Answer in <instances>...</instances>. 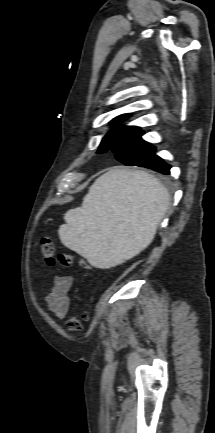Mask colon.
Wrapping results in <instances>:
<instances>
[{
    "label": "colon",
    "mask_w": 215,
    "mask_h": 433,
    "mask_svg": "<svg viewBox=\"0 0 215 433\" xmlns=\"http://www.w3.org/2000/svg\"><path fill=\"white\" fill-rule=\"evenodd\" d=\"M41 253L45 261L49 265L60 264L62 266H71L75 261V256L72 253L56 254L53 240L48 236H43L40 241ZM83 268H88L86 261L79 262ZM88 319V313L83 312L81 315L72 316L67 319L65 327L69 332H79L84 328V324Z\"/></svg>",
    "instance_id": "obj_1"
}]
</instances>
